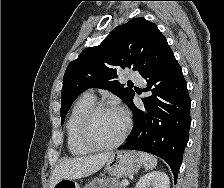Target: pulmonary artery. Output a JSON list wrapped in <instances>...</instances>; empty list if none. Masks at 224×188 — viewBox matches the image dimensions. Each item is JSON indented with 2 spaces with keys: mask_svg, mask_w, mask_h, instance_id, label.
<instances>
[{
  "mask_svg": "<svg viewBox=\"0 0 224 188\" xmlns=\"http://www.w3.org/2000/svg\"><path fill=\"white\" fill-rule=\"evenodd\" d=\"M129 78H131L133 80H136V81H139V82L141 81L139 74L135 71L129 72ZM86 94L94 97L93 90L87 91Z\"/></svg>",
  "mask_w": 224,
  "mask_h": 188,
  "instance_id": "obj_1",
  "label": "pulmonary artery"
}]
</instances>
